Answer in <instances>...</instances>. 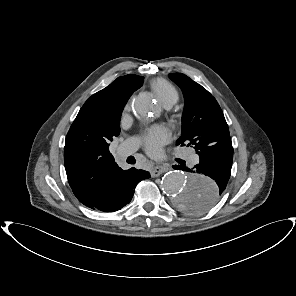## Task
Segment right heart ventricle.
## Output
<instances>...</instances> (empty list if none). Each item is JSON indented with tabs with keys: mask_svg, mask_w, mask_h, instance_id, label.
Segmentation results:
<instances>
[{
	"mask_svg": "<svg viewBox=\"0 0 296 296\" xmlns=\"http://www.w3.org/2000/svg\"><path fill=\"white\" fill-rule=\"evenodd\" d=\"M151 88L166 107H170L178 100V92L175 87L164 79H155L151 82Z\"/></svg>",
	"mask_w": 296,
	"mask_h": 296,
	"instance_id": "1",
	"label": "right heart ventricle"
}]
</instances>
